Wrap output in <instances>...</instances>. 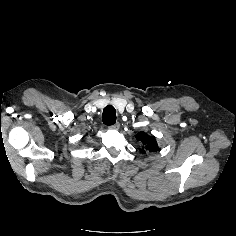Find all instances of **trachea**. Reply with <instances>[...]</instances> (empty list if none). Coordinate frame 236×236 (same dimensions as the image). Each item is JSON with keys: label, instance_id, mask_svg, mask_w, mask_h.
<instances>
[{"label": "trachea", "instance_id": "1", "mask_svg": "<svg viewBox=\"0 0 236 236\" xmlns=\"http://www.w3.org/2000/svg\"><path fill=\"white\" fill-rule=\"evenodd\" d=\"M103 123L107 126L116 123V110L112 105H108L103 110Z\"/></svg>", "mask_w": 236, "mask_h": 236}]
</instances>
